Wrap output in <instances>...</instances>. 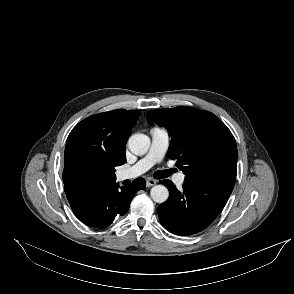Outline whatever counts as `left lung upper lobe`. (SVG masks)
Returning a JSON list of instances; mask_svg holds the SVG:
<instances>
[{
	"instance_id": "1",
	"label": "left lung upper lobe",
	"mask_w": 294,
	"mask_h": 294,
	"mask_svg": "<svg viewBox=\"0 0 294 294\" xmlns=\"http://www.w3.org/2000/svg\"><path fill=\"white\" fill-rule=\"evenodd\" d=\"M149 119L166 127L172 137L168 155L185 181L218 178L235 183L237 146L234 136L213 113L179 106L149 110Z\"/></svg>"
}]
</instances>
